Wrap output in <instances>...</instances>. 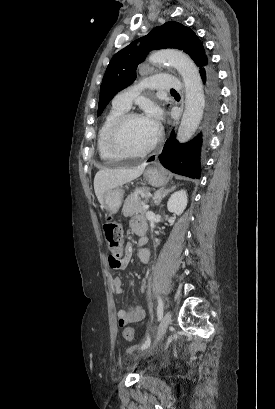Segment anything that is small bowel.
<instances>
[{
  "instance_id": "obj_1",
  "label": "small bowel",
  "mask_w": 275,
  "mask_h": 409,
  "mask_svg": "<svg viewBox=\"0 0 275 409\" xmlns=\"http://www.w3.org/2000/svg\"><path fill=\"white\" fill-rule=\"evenodd\" d=\"M141 221L144 220L143 218L137 217L133 220L132 222V226L134 228V224L136 221ZM135 229V228H134ZM136 230V229H135ZM147 242L146 238H142L140 240V245H145V243ZM133 254V249L130 245L126 246L125 249V256L123 259L119 260L117 262V257L116 256H109L108 257V262L109 264V269L110 270H115V269H126L130 259L132 257ZM139 259L141 261V263H143L144 265L149 263L150 260V252L148 251L147 248L145 247H140L139 253H138ZM114 290L117 294H121L123 291V282L121 279L119 278H115L112 281ZM146 289V281L142 280L139 283V290L141 292H143ZM144 316V310L142 309L141 306L139 305H132L129 307H126L124 309L119 310L118 312V322L121 326L127 325L129 323L132 322H136L139 321L143 318Z\"/></svg>"
}]
</instances>
